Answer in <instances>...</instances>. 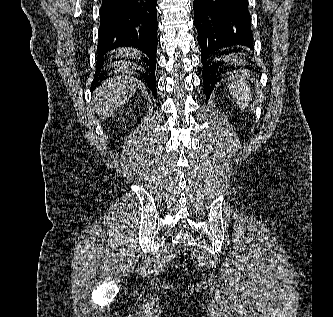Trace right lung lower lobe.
Segmentation results:
<instances>
[{
    "label": "right lung lower lobe",
    "mask_w": 333,
    "mask_h": 317,
    "mask_svg": "<svg viewBox=\"0 0 333 317\" xmlns=\"http://www.w3.org/2000/svg\"><path fill=\"white\" fill-rule=\"evenodd\" d=\"M157 0H103L99 10L97 70L104 62L103 55L117 47H135L147 54L146 71L140 79L156 98ZM105 79L95 75L91 90Z\"/></svg>",
    "instance_id": "98d812e1"
}]
</instances>
